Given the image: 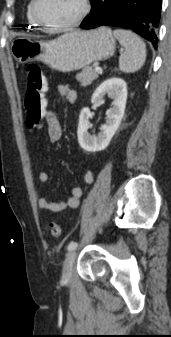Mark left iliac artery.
<instances>
[{"mask_svg":"<svg viewBox=\"0 0 171 337\" xmlns=\"http://www.w3.org/2000/svg\"><path fill=\"white\" fill-rule=\"evenodd\" d=\"M78 246V243L75 241H71L67 247L68 251L75 250Z\"/></svg>","mask_w":171,"mask_h":337,"instance_id":"44dca946","label":"left iliac artery"}]
</instances>
